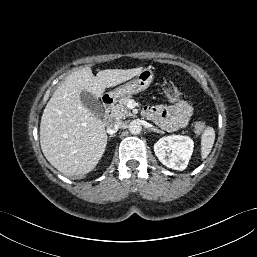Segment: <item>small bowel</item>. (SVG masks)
I'll return each instance as SVG.
<instances>
[{
	"instance_id": "1",
	"label": "small bowel",
	"mask_w": 257,
	"mask_h": 257,
	"mask_svg": "<svg viewBox=\"0 0 257 257\" xmlns=\"http://www.w3.org/2000/svg\"><path fill=\"white\" fill-rule=\"evenodd\" d=\"M193 113L190 101L182 100L172 106L156 105L146 109V114L166 131L185 127Z\"/></svg>"
}]
</instances>
